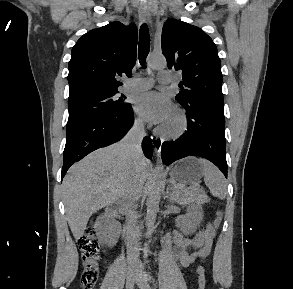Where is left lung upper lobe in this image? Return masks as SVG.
Masks as SVG:
<instances>
[{"instance_id": "left-lung-upper-lobe-1", "label": "left lung upper lobe", "mask_w": 293, "mask_h": 289, "mask_svg": "<svg viewBox=\"0 0 293 289\" xmlns=\"http://www.w3.org/2000/svg\"><path fill=\"white\" fill-rule=\"evenodd\" d=\"M161 43L168 68L183 76L176 100L181 105L204 100L223 106L221 61L212 39L196 26L168 19Z\"/></svg>"}]
</instances>
